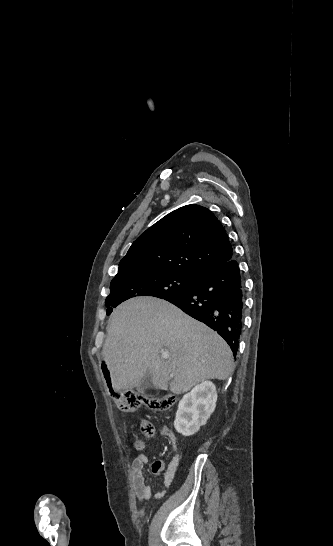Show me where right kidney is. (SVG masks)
<instances>
[{
	"label": "right kidney",
	"mask_w": 333,
	"mask_h": 546,
	"mask_svg": "<svg viewBox=\"0 0 333 546\" xmlns=\"http://www.w3.org/2000/svg\"><path fill=\"white\" fill-rule=\"evenodd\" d=\"M216 401V387L212 382L195 386L179 402L174 421L176 431L184 436L197 433L213 413Z\"/></svg>",
	"instance_id": "ca27d5eb"
}]
</instances>
